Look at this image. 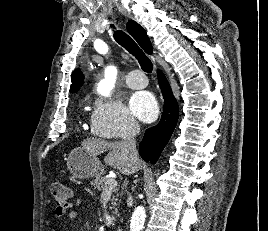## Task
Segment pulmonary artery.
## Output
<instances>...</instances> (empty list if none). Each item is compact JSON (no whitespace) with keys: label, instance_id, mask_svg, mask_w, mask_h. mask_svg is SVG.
I'll list each match as a JSON object with an SVG mask.
<instances>
[{"label":"pulmonary artery","instance_id":"obj_1","mask_svg":"<svg viewBox=\"0 0 268 231\" xmlns=\"http://www.w3.org/2000/svg\"><path fill=\"white\" fill-rule=\"evenodd\" d=\"M126 84L132 89H142L147 86V79L143 72L138 69L130 71L126 78Z\"/></svg>","mask_w":268,"mask_h":231}]
</instances>
